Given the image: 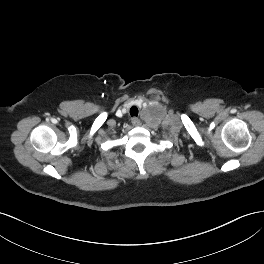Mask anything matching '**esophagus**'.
Listing matches in <instances>:
<instances>
[{"mask_svg": "<svg viewBox=\"0 0 264 264\" xmlns=\"http://www.w3.org/2000/svg\"><path fill=\"white\" fill-rule=\"evenodd\" d=\"M132 124H133L134 126H140V125H141V121H140L138 118L134 117V118L132 119Z\"/></svg>", "mask_w": 264, "mask_h": 264, "instance_id": "obj_1", "label": "esophagus"}]
</instances>
